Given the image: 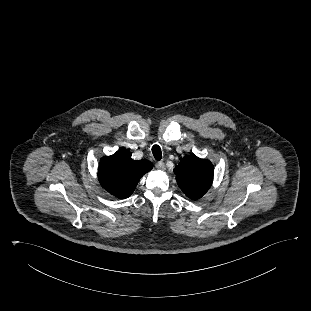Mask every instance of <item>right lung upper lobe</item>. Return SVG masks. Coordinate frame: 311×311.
Returning a JSON list of instances; mask_svg holds the SVG:
<instances>
[{"label": "right lung upper lobe", "mask_w": 311, "mask_h": 311, "mask_svg": "<svg viewBox=\"0 0 311 311\" xmlns=\"http://www.w3.org/2000/svg\"><path fill=\"white\" fill-rule=\"evenodd\" d=\"M152 167V163L146 159L133 160L131 152L123 148L100 160L98 179L110 194L120 199L127 198L135 190L140 178Z\"/></svg>", "instance_id": "cb5924a9"}]
</instances>
